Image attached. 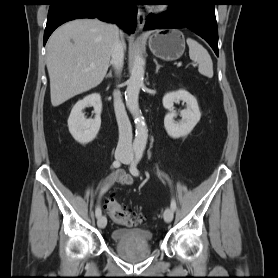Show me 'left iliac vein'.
<instances>
[{
    "label": "left iliac vein",
    "mask_w": 278,
    "mask_h": 278,
    "mask_svg": "<svg viewBox=\"0 0 278 278\" xmlns=\"http://www.w3.org/2000/svg\"><path fill=\"white\" fill-rule=\"evenodd\" d=\"M132 162V157L129 155L127 156L124 160H123V163L124 164H130ZM173 216H174V213H173V210L172 208H166L165 212H164V220L169 223L172 221L173 219Z\"/></svg>",
    "instance_id": "obj_1"
}]
</instances>
